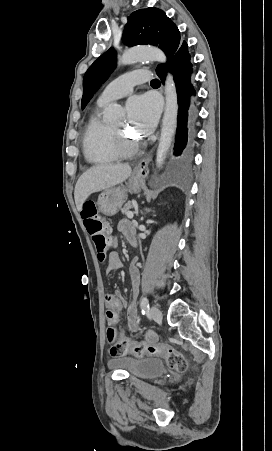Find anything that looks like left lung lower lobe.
<instances>
[{"label": "left lung lower lobe", "instance_id": "obj_1", "mask_svg": "<svg viewBox=\"0 0 272 451\" xmlns=\"http://www.w3.org/2000/svg\"><path fill=\"white\" fill-rule=\"evenodd\" d=\"M167 69L173 74L177 96L178 117L176 141L174 147L175 164L183 166L192 157V144L195 139L196 111L191 101L196 91L191 84L192 63L186 41H182L178 50L167 65L156 70L157 75L164 83Z\"/></svg>", "mask_w": 272, "mask_h": 451}]
</instances>
